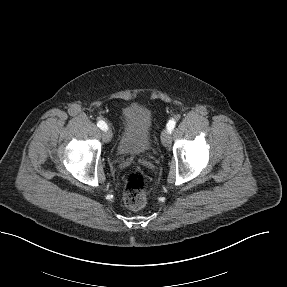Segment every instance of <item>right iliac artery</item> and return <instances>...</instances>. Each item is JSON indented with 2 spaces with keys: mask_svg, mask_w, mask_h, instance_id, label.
<instances>
[{
  "mask_svg": "<svg viewBox=\"0 0 287 287\" xmlns=\"http://www.w3.org/2000/svg\"><path fill=\"white\" fill-rule=\"evenodd\" d=\"M97 126H98L100 129H102V130L108 129V128H107V124H106L104 121H102V120H100V121L97 122Z\"/></svg>",
  "mask_w": 287,
  "mask_h": 287,
  "instance_id": "82829eb1",
  "label": "right iliac artery"
}]
</instances>
